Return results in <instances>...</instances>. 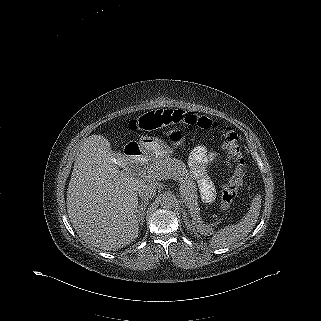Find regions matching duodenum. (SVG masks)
<instances>
[{"mask_svg":"<svg viewBox=\"0 0 321 321\" xmlns=\"http://www.w3.org/2000/svg\"><path fill=\"white\" fill-rule=\"evenodd\" d=\"M138 153H139V154H142L141 150L138 149Z\"/></svg>","mask_w":321,"mask_h":321,"instance_id":"duodenum-1","label":"duodenum"}]
</instances>
